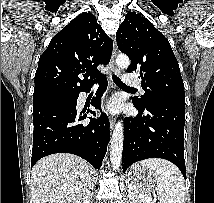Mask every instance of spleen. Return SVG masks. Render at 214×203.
<instances>
[{"instance_id": "spleen-1", "label": "spleen", "mask_w": 214, "mask_h": 203, "mask_svg": "<svg viewBox=\"0 0 214 203\" xmlns=\"http://www.w3.org/2000/svg\"><path fill=\"white\" fill-rule=\"evenodd\" d=\"M141 165L155 177L160 203H184V179L173 164L161 159H147Z\"/></svg>"}]
</instances>
